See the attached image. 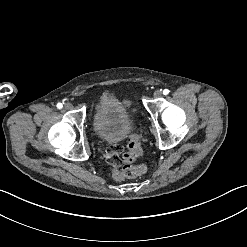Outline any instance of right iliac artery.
I'll list each match as a JSON object with an SVG mask.
<instances>
[{
    "instance_id": "1",
    "label": "right iliac artery",
    "mask_w": 247,
    "mask_h": 247,
    "mask_svg": "<svg viewBox=\"0 0 247 247\" xmlns=\"http://www.w3.org/2000/svg\"><path fill=\"white\" fill-rule=\"evenodd\" d=\"M63 107V105L61 103L57 104V108L61 109Z\"/></svg>"
}]
</instances>
